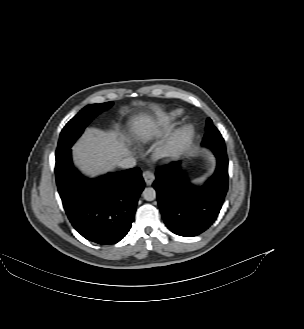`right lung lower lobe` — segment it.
<instances>
[{
	"instance_id": "98d812e1",
	"label": "right lung lower lobe",
	"mask_w": 304,
	"mask_h": 329,
	"mask_svg": "<svg viewBox=\"0 0 304 329\" xmlns=\"http://www.w3.org/2000/svg\"><path fill=\"white\" fill-rule=\"evenodd\" d=\"M55 175L66 214L84 238L109 245L128 233L145 186L139 168L91 180L74 168L69 149L56 156Z\"/></svg>"
}]
</instances>
